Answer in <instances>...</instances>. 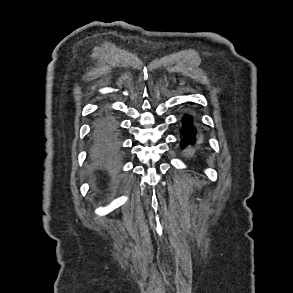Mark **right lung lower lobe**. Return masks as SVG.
Returning <instances> with one entry per match:
<instances>
[{"label":"right lung lower lobe","mask_w":293,"mask_h":293,"mask_svg":"<svg viewBox=\"0 0 293 293\" xmlns=\"http://www.w3.org/2000/svg\"><path fill=\"white\" fill-rule=\"evenodd\" d=\"M95 147L106 154H114L119 148V126L111 110L104 108L95 119L92 130Z\"/></svg>","instance_id":"1"}]
</instances>
